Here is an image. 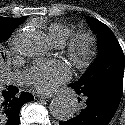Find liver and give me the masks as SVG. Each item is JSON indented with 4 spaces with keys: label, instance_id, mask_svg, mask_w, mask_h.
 Wrapping results in <instances>:
<instances>
[{
    "label": "liver",
    "instance_id": "1",
    "mask_svg": "<svg viewBox=\"0 0 125 125\" xmlns=\"http://www.w3.org/2000/svg\"><path fill=\"white\" fill-rule=\"evenodd\" d=\"M3 71H4V62L0 53V86L2 84V75H3Z\"/></svg>",
    "mask_w": 125,
    "mask_h": 125
}]
</instances>
